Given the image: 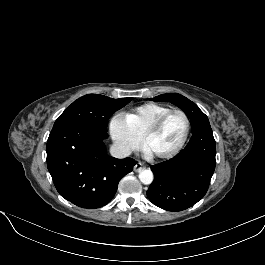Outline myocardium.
<instances>
[{"label": "myocardium", "instance_id": "1", "mask_svg": "<svg viewBox=\"0 0 265 265\" xmlns=\"http://www.w3.org/2000/svg\"><path fill=\"white\" fill-rule=\"evenodd\" d=\"M172 114H179L185 119L186 130H185L184 136L182 140L179 142V144L173 149L165 151V152H161V153H150V155L155 159H167V158L173 157L174 155L178 154L183 149V147L185 146L189 138L190 131H191V122H190L188 115L182 110L170 109L166 111L165 113H163L162 115H160L144 132V134L141 137L142 146L145 149H147V144H148L149 139L159 131L164 121Z\"/></svg>", "mask_w": 265, "mask_h": 265}]
</instances>
